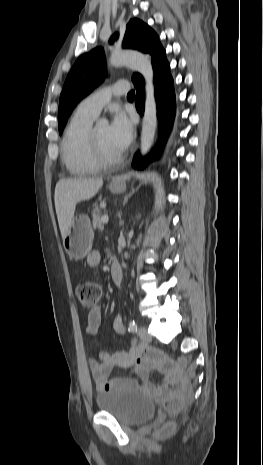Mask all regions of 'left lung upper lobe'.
<instances>
[{
    "mask_svg": "<svg viewBox=\"0 0 263 465\" xmlns=\"http://www.w3.org/2000/svg\"><path fill=\"white\" fill-rule=\"evenodd\" d=\"M118 38L114 34L110 43ZM162 46L157 34L139 19H131L126 26V32L122 42L123 48H131L143 53L152 54ZM105 55L102 48L81 55L69 72L60 95L58 109V128L61 134L68 117L78 102L87 96L105 78ZM137 75L135 73L132 78Z\"/></svg>",
    "mask_w": 263,
    "mask_h": 465,
    "instance_id": "left-lung-upper-lobe-1",
    "label": "left lung upper lobe"
}]
</instances>
